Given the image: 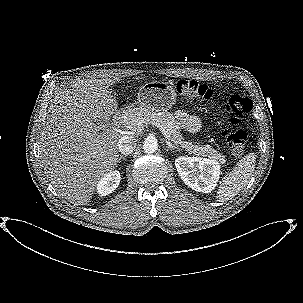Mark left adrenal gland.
<instances>
[{
  "mask_svg": "<svg viewBox=\"0 0 303 303\" xmlns=\"http://www.w3.org/2000/svg\"><path fill=\"white\" fill-rule=\"evenodd\" d=\"M166 145L168 146V149L169 150H179L180 151V148L178 146H175L174 144H172L170 141L166 140Z\"/></svg>",
  "mask_w": 303,
  "mask_h": 303,
  "instance_id": "obj_1",
  "label": "left adrenal gland"
}]
</instances>
